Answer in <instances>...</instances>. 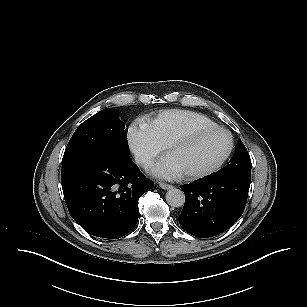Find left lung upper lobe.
Listing matches in <instances>:
<instances>
[{
	"label": "left lung upper lobe",
	"mask_w": 307,
	"mask_h": 307,
	"mask_svg": "<svg viewBox=\"0 0 307 307\" xmlns=\"http://www.w3.org/2000/svg\"><path fill=\"white\" fill-rule=\"evenodd\" d=\"M251 159L247 152L246 147L240 139L235 146V152L230 159L229 164L224 168L220 169L218 172L211 174L209 176L213 178H226L234 176H251Z\"/></svg>",
	"instance_id": "1"
}]
</instances>
